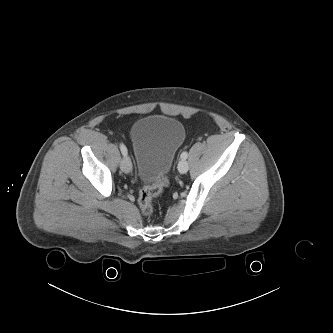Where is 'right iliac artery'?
<instances>
[{"instance_id": "right-iliac-artery-1", "label": "right iliac artery", "mask_w": 333, "mask_h": 333, "mask_svg": "<svg viewBox=\"0 0 333 333\" xmlns=\"http://www.w3.org/2000/svg\"><path fill=\"white\" fill-rule=\"evenodd\" d=\"M119 147H120V150H121L122 154L124 156H126L127 155V148H126V146L124 144L120 143Z\"/></svg>"}]
</instances>
